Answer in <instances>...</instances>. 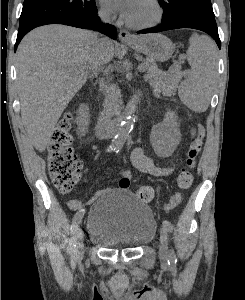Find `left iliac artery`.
Masks as SVG:
<instances>
[{
	"mask_svg": "<svg viewBox=\"0 0 245 300\" xmlns=\"http://www.w3.org/2000/svg\"><path fill=\"white\" fill-rule=\"evenodd\" d=\"M119 150H117L118 152ZM163 226L165 228V230L168 232V233H171L172 230H173V225L170 221L168 220H164L163 221ZM177 262V258H176V254L174 252L173 249L170 250V253H169V260H168V263L171 264V265H174L176 264Z\"/></svg>",
	"mask_w": 245,
	"mask_h": 300,
	"instance_id": "44dca946",
	"label": "left iliac artery"
}]
</instances>
